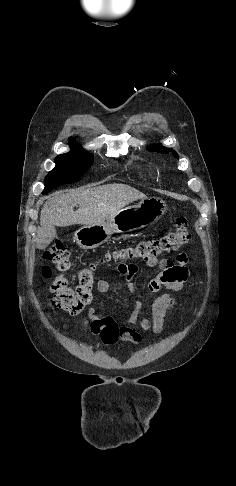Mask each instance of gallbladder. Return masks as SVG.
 Instances as JSON below:
<instances>
[{
	"label": "gallbladder",
	"instance_id": "1",
	"mask_svg": "<svg viewBox=\"0 0 236 486\" xmlns=\"http://www.w3.org/2000/svg\"><path fill=\"white\" fill-rule=\"evenodd\" d=\"M56 235V229L54 226H47L40 229L38 232L37 247L44 249L54 239Z\"/></svg>",
	"mask_w": 236,
	"mask_h": 486
}]
</instances>
